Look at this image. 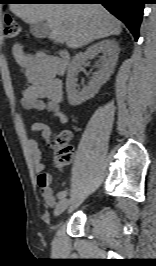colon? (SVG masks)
Returning <instances> with one entry per match:
<instances>
[{
  "mask_svg": "<svg viewBox=\"0 0 156 266\" xmlns=\"http://www.w3.org/2000/svg\"><path fill=\"white\" fill-rule=\"evenodd\" d=\"M4 34L8 39L19 37L21 30L17 20L10 14L4 16ZM71 133L63 131L53 140L52 145L55 148L54 163L57 167L68 165L72 159V147L69 145Z\"/></svg>",
  "mask_w": 156,
  "mask_h": 266,
  "instance_id": "colon-1",
  "label": "colon"
}]
</instances>
